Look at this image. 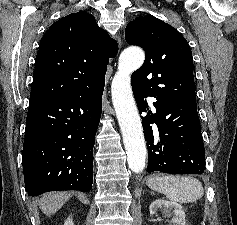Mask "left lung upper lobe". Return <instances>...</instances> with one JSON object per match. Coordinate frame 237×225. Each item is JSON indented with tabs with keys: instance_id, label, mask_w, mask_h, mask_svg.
Instances as JSON below:
<instances>
[{
	"instance_id": "obj_1",
	"label": "left lung upper lobe",
	"mask_w": 237,
	"mask_h": 225,
	"mask_svg": "<svg viewBox=\"0 0 237 225\" xmlns=\"http://www.w3.org/2000/svg\"><path fill=\"white\" fill-rule=\"evenodd\" d=\"M125 39L146 54L132 74L133 86L165 101L196 102L191 49L175 28L149 15L131 21Z\"/></svg>"
}]
</instances>
